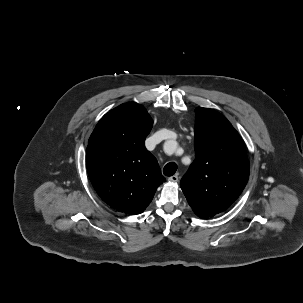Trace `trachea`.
Listing matches in <instances>:
<instances>
[{"label":"trachea","instance_id":"1","mask_svg":"<svg viewBox=\"0 0 303 303\" xmlns=\"http://www.w3.org/2000/svg\"><path fill=\"white\" fill-rule=\"evenodd\" d=\"M177 170V165L174 162L167 163L163 169V173L166 176H173Z\"/></svg>","mask_w":303,"mask_h":303}]
</instances>
